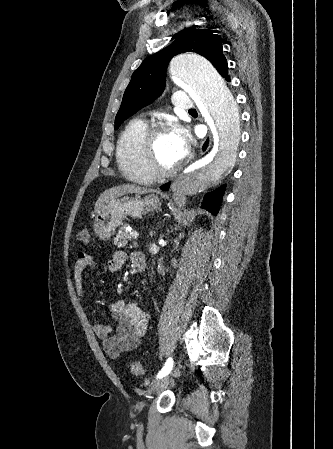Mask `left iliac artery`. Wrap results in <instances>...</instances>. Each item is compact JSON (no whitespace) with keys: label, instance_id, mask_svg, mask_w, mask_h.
I'll list each match as a JSON object with an SVG mask.
<instances>
[{"label":"left iliac artery","instance_id":"left-iliac-artery-1","mask_svg":"<svg viewBox=\"0 0 333 449\" xmlns=\"http://www.w3.org/2000/svg\"><path fill=\"white\" fill-rule=\"evenodd\" d=\"M172 367H173V360L171 357H169L163 368L158 372L156 378H162L168 375L171 372Z\"/></svg>","mask_w":333,"mask_h":449}]
</instances>
